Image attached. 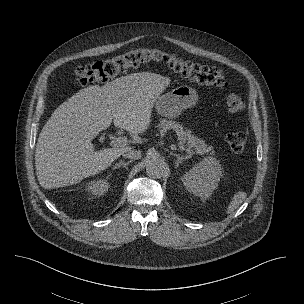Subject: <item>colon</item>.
I'll return each mask as SVG.
<instances>
[{
	"label": "colon",
	"mask_w": 304,
	"mask_h": 304,
	"mask_svg": "<svg viewBox=\"0 0 304 304\" xmlns=\"http://www.w3.org/2000/svg\"><path fill=\"white\" fill-rule=\"evenodd\" d=\"M148 63L165 64L184 78L199 85L218 88H225L228 85L223 70L219 68L196 64L184 60L176 54L149 47L131 50L103 61L79 66L74 71V82L79 86L105 82L120 73ZM225 107L229 113H238L244 109L245 100L240 95L231 93L226 97ZM226 140L234 153H242L246 148L247 134L244 131L230 132Z\"/></svg>",
	"instance_id": "obj_1"
}]
</instances>
